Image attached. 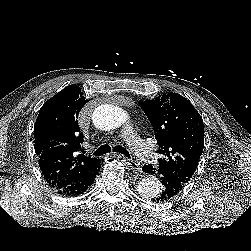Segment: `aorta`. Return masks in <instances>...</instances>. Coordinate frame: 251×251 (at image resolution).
Returning a JSON list of instances; mask_svg holds the SVG:
<instances>
[{
	"mask_svg": "<svg viewBox=\"0 0 251 251\" xmlns=\"http://www.w3.org/2000/svg\"><path fill=\"white\" fill-rule=\"evenodd\" d=\"M93 123L101 130H111L125 124L129 116L122 108L104 104L98 106L93 113ZM161 191L159 180L154 176H147L139 181L137 185L138 194L145 198L151 199L156 197Z\"/></svg>",
	"mask_w": 251,
	"mask_h": 251,
	"instance_id": "1",
	"label": "aorta"
}]
</instances>
